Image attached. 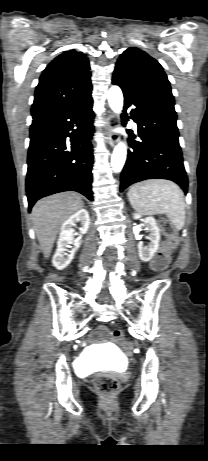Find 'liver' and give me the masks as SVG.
Here are the masks:
<instances>
[{"label":"liver","instance_id":"obj_1","mask_svg":"<svg viewBox=\"0 0 208 461\" xmlns=\"http://www.w3.org/2000/svg\"><path fill=\"white\" fill-rule=\"evenodd\" d=\"M83 208L81 197L73 192L54 194L39 200L32 209V220L44 257L49 258L63 222Z\"/></svg>","mask_w":208,"mask_h":461}]
</instances>
